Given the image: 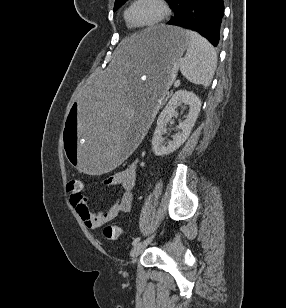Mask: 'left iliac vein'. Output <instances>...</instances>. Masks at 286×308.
<instances>
[{
  "label": "left iliac vein",
  "instance_id": "left-iliac-vein-1",
  "mask_svg": "<svg viewBox=\"0 0 286 308\" xmlns=\"http://www.w3.org/2000/svg\"><path fill=\"white\" fill-rule=\"evenodd\" d=\"M153 238H154V235L150 236L146 240L138 242L137 244L133 246L131 250V257L133 260H135L143 252V250L151 243Z\"/></svg>",
  "mask_w": 286,
  "mask_h": 308
}]
</instances>
